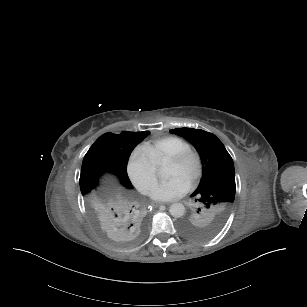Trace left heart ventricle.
<instances>
[{
    "label": "left heart ventricle",
    "mask_w": 307,
    "mask_h": 307,
    "mask_svg": "<svg viewBox=\"0 0 307 307\" xmlns=\"http://www.w3.org/2000/svg\"><path fill=\"white\" fill-rule=\"evenodd\" d=\"M198 167V157L197 155H191L184 163L176 164L169 161L168 164V174L169 176H181L186 180L196 171Z\"/></svg>",
    "instance_id": "1"
}]
</instances>
